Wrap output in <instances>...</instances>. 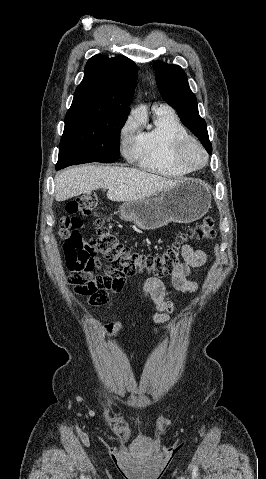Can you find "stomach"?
<instances>
[{"mask_svg": "<svg viewBox=\"0 0 266 479\" xmlns=\"http://www.w3.org/2000/svg\"><path fill=\"white\" fill-rule=\"evenodd\" d=\"M208 187L198 180H185L157 197L127 201L119 208L121 218L143 230H153L170 222L191 223L210 208Z\"/></svg>", "mask_w": 266, "mask_h": 479, "instance_id": "0dacf381", "label": "stomach"}]
</instances>
